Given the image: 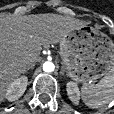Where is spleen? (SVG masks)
Listing matches in <instances>:
<instances>
[{
  "label": "spleen",
  "instance_id": "spleen-1",
  "mask_svg": "<svg viewBox=\"0 0 114 114\" xmlns=\"http://www.w3.org/2000/svg\"><path fill=\"white\" fill-rule=\"evenodd\" d=\"M81 97L85 105L90 108H100L114 98V68L106 74L96 85L84 84Z\"/></svg>",
  "mask_w": 114,
  "mask_h": 114
}]
</instances>
